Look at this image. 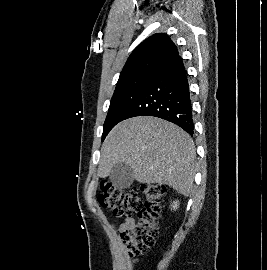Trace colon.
<instances>
[{
    "instance_id": "obj_1",
    "label": "colon",
    "mask_w": 267,
    "mask_h": 270,
    "mask_svg": "<svg viewBox=\"0 0 267 270\" xmlns=\"http://www.w3.org/2000/svg\"><path fill=\"white\" fill-rule=\"evenodd\" d=\"M165 188L158 184H144L123 189L102 182L98 194L100 205L115 216L137 213L138 218L121 231V240L131 259L148 252L154 245L159 230Z\"/></svg>"
}]
</instances>
